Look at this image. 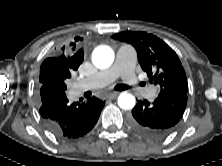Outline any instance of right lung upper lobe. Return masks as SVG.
Masks as SVG:
<instances>
[{"label":"right lung upper lobe","mask_w":222,"mask_h":166,"mask_svg":"<svg viewBox=\"0 0 222 166\" xmlns=\"http://www.w3.org/2000/svg\"><path fill=\"white\" fill-rule=\"evenodd\" d=\"M81 40V37H75L71 42L61 46L55 56L45 59L40 67V76H71L84 59L83 50L79 48Z\"/></svg>","instance_id":"1"}]
</instances>
